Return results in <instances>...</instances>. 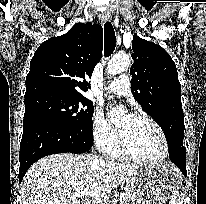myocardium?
I'll use <instances>...</instances> for the list:
<instances>
[{
    "label": "myocardium",
    "mask_w": 206,
    "mask_h": 204,
    "mask_svg": "<svg viewBox=\"0 0 206 204\" xmlns=\"http://www.w3.org/2000/svg\"><path fill=\"white\" fill-rule=\"evenodd\" d=\"M130 116L136 119H142V120L149 122L158 131L163 141L164 151H163V154L157 158H146L141 155H138L129 147L123 134L119 130L118 131V141H119V147L121 151L123 152V154L136 161L149 163V164H157V163H160L166 160L170 154V143H169L168 137L164 129L160 126V124L156 120H154L151 116H149L148 114L142 113V112H135V113L130 114Z\"/></svg>",
    "instance_id": "myocardium-1"
}]
</instances>
